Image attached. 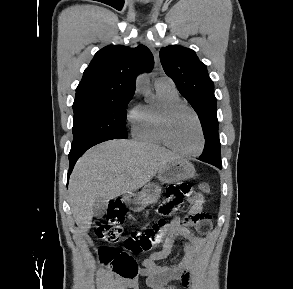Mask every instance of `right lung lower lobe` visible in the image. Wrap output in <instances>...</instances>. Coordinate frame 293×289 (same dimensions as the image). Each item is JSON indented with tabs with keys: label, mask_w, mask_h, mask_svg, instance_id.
I'll return each mask as SVG.
<instances>
[{
	"label": "right lung lower lobe",
	"mask_w": 293,
	"mask_h": 289,
	"mask_svg": "<svg viewBox=\"0 0 293 289\" xmlns=\"http://www.w3.org/2000/svg\"><path fill=\"white\" fill-rule=\"evenodd\" d=\"M90 147H85V148H81L78 150H72L69 153V162H70V167H69V172H68V178L69 175L71 173V171L73 170V167L77 161V159L86 151L88 150Z\"/></svg>",
	"instance_id": "obj_1"
}]
</instances>
